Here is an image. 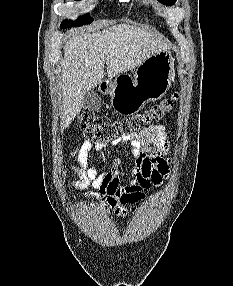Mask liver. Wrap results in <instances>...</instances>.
I'll list each match as a JSON object with an SVG mask.
<instances>
[{
  "label": "liver",
  "mask_w": 233,
  "mask_h": 286,
  "mask_svg": "<svg viewBox=\"0 0 233 286\" xmlns=\"http://www.w3.org/2000/svg\"><path fill=\"white\" fill-rule=\"evenodd\" d=\"M167 49L146 30L125 23L96 33L73 32L64 46L61 61V127H68L81 111L84 93L101 83L105 63L111 80Z\"/></svg>",
  "instance_id": "liver-1"
}]
</instances>
